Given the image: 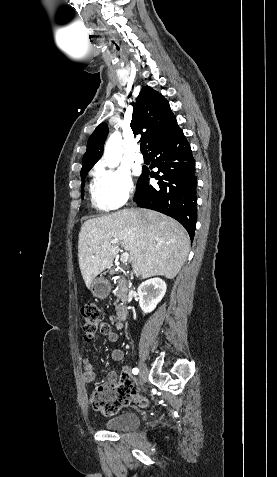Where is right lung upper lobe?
Listing matches in <instances>:
<instances>
[{
  "label": "right lung upper lobe",
  "instance_id": "cb5924a9",
  "mask_svg": "<svg viewBox=\"0 0 277 477\" xmlns=\"http://www.w3.org/2000/svg\"><path fill=\"white\" fill-rule=\"evenodd\" d=\"M131 128L134 134L142 135L141 139L147 141L150 150L179 127L168 101L151 87L145 86L134 105ZM143 128L147 129L146 132H142ZM107 134V124L101 123L89 137L81 170L92 168L100 159Z\"/></svg>",
  "mask_w": 277,
  "mask_h": 477
}]
</instances>
